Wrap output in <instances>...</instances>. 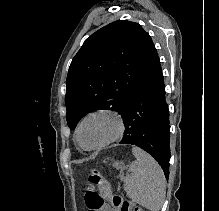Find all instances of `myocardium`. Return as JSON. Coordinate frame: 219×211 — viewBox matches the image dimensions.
<instances>
[{"label": "myocardium", "mask_w": 219, "mask_h": 211, "mask_svg": "<svg viewBox=\"0 0 219 211\" xmlns=\"http://www.w3.org/2000/svg\"><path fill=\"white\" fill-rule=\"evenodd\" d=\"M97 115H106V116L113 118V120L115 121V129H114L113 133L101 144H99L97 146H93V147H85L82 144L81 138H80L82 126L86 122L87 119H89L93 116H97ZM124 130H125V120L120 112H118L115 109H111V108H98V109H95L93 111L88 112L81 119V121L77 127L76 137H77L78 143L80 144V146L82 148H84L86 150H100V149H103L106 146L110 145L111 143L117 141L118 139H120L124 133Z\"/></svg>", "instance_id": "obj_1"}]
</instances>
